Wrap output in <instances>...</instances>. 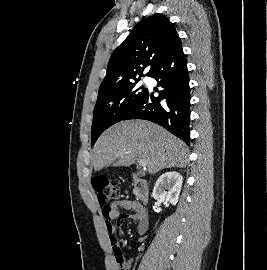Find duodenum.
Segmentation results:
<instances>
[{
  "mask_svg": "<svg viewBox=\"0 0 267 270\" xmlns=\"http://www.w3.org/2000/svg\"><path fill=\"white\" fill-rule=\"evenodd\" d=\"M133 182L137 192V198L140 203L144 204L149 199V187L145 179L133 175Z\"/></svg>",
  "mask_w": 267,
  "mask_h": 270,
  "instance_id": "obj_1",
  "label": "duodenum"
}]
</instances>
